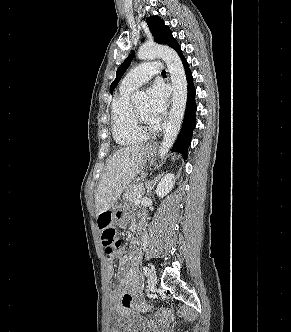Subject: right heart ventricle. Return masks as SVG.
Returning <instances> with one entry per match:
<instances>
[{"instance_id": "obj_1", "label": "right heart ventricle", "mask_w": 291, "mask_h": 332, "mask_svg": "<svg viewBox=\"0 0 291 332\" xmlns=\"http://www.w3.org/2000/svg\"><path fill=\"white\" fill-rule=\"evenodd\" d=\"M131 91L120 88L111 105L112 134L114 140L120 145L136 144L146 139V134L137 128L133 117Z\"/></svg>"}]
</instances>
